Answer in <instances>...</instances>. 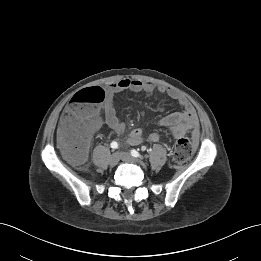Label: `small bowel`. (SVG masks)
<instances>
[{
  "instance_id": "obj_1",
  "label": "small bowel",
  "mask_w": 261,
  "mask_h": 261,
  "mask_svg": "<svg viewBox=\"0 0 261 261\" xmlns=\"http://www.w3.org/2000/svg\"><path fill=\"white\" fill-rule=\"evenodd\" d=\"M124 90H131L133 92H144L146 96H152L155 91L170 96L176 100L183 108L182 111L173 112L158 120V124L167 127L172 135L176 138L183 137L190 133L193 140L196 142L200 135V126L194 110L186 99V97L179 91L165 86L156 87L154 84L137 79H121L111 83L106 88V97L102 105V115L96 111L88 121V135H92L101 127L107 126L117 134H122L125 130L124 123L119 119L115 107V94ZM160 134L152 132L148 139L151 142H157ZM128 143L132 145L140 144L143 140V131L139 128L133 129L128 135Z\"/></svg>"
}]
</instances>
